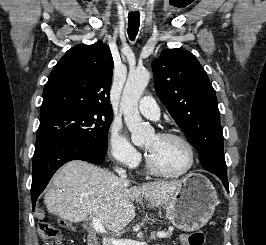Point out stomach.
Instances as JSON below:
<instances>
[{
  "mask_svg": "<svg viewBox=\"0 0 266 245\" xmlns=\"http://www.w3.org/2000/svg\"><path fill=\"white\" fill-rule=\"evenodd\" d=\"M217 205V193L209 179L199 173H189L182 179V187L161 207L174 227L180 231H197L208 223Z\"/></svg>",
  "mask_w": 266,
  "mask_h": 245,
  "instance_id": "1",
  "label": "stomach"
}]
</instances>
